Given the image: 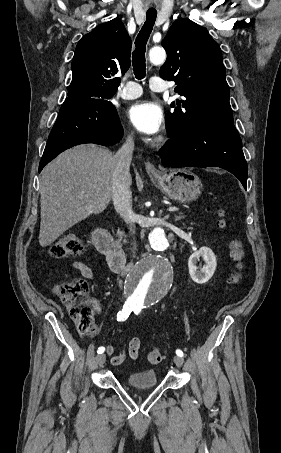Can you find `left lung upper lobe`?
Here are the masks:
<instances>
[{
  "label": "left lung upper lobe",
  "instance_id": "obj_1",
  "mask_svg": "<svg viewBox=\"0 0 281 453\" xmlns=\"http://www.w3.org/2000/svg\"><path fill=\"white\" fill-rule=\"evenodd\" d=\"M162 46L167 60L160 76L175 81L174 91L186 98L171 103L174 112L166 115L169 137L207 122L232 119L221 49L207 29L179 18L170 27Z\"/></svg>",
  "mask_w": 281,
  "mask_h": 453
}]
</instances>
